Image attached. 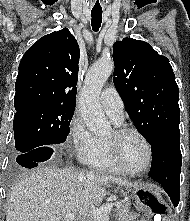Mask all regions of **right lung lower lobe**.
<instances>
[{
	"label": "right lung lower lobe",
	"instance_id": "1",
	"mask_svg": "<svg viewBox=\"0 0 190 221\" xmlns=\"http://www.w3.org/2000/svg\"><path fill=\"white\" fill-rule=\"evenodd\" d=\"M53 146H41L29 152L20 154L16 161L23 167L33 168L38 165V162H43L49 159L53 153Z\"/></svg>",
	"mask_w": 190,
	"mask_h": 221
}]
</instances>
